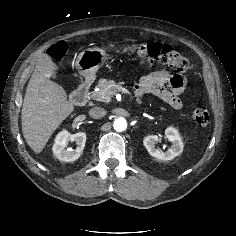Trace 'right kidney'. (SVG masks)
Instances as JSON below:
<instances>
[{
	"label": "right kidney",
	"instance_id": "obj_1",
	"mask_svg": "<svg viewBox=\"0 0 236 236\" xmlns=\"http://www.w3.org/2000/svg\"><path fill=\"white\" fill-rule=\"evenodd\" d=\"M70 141L76 143V149L67 147ZM85 142V133L79 132L72 135L68 131L63 130L57 134L52 151L54 156L60 161L72 162L81 156L85 147Z\"/></svg>",
	"mask_w": 236,
	"mask_h": 236
}]
</instances>
